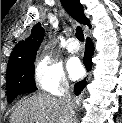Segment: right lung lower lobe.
Wrapping results in <instances>:
<instances>
[{
  "mask_svg": "<svg viewBox=\"0 0 122 123\" xmlns=\"http://www.w3.org/2000/svg\"><path fill=\"white\" fill-rule=\"evenodd\" d=\"M93 52H94V47H93L92 41L89 38H87L85 54H84V64H85L87 70L91 69V66H92L91 56H92ZM85 85H86L85 80L78 82L74 87L75 94L79 95L81 93V91L83 90V88L85 87Z\"/></svg>",
  "mask_w": 122,
  "mask_h": 123,
  "instance_id": "98d812e1",
  "label": "right lung lower lobe"
}]
</instances>
